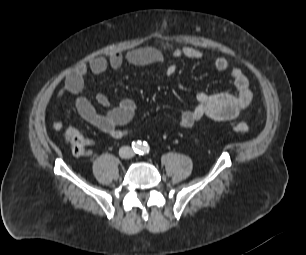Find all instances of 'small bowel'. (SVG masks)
<instances>
[{
    "mask_svg": "<svg viewBox=\"0 0 306 255\" xmlns=\"http://www.w3.org/2000/svg\"><path fill=\"white\" fill-rule=\"evenodd\" d=\"M203 57L204 53L193 47L176 49L169 60L160 49L155 47H141L125 53L114 51L108 57L97 56L88 63L77 65L67 75L58 95L60 100H65L69 96H76L75 107L86 122L110 137L120 139L128 133L123 127L134 118L136 104L132 99L124 98L106 112H98L87 98L80 95L84 88V78L89 72L99 75L109 68L119 70L127 63L134 66H165L166 76L171 77L177 70L179 60H197ZM213 65L219 72H228L234 84L235 92L197 93L195 105L179 114L178 123L180 127L190 128L204 117H209L216 121H230L237 118L241 110L250 104L252 91L249 80L242 70L238 67L230 66L228 60L224 57L215 58ZM96 101L102 107H109V99L104 94H98ZM62 127V122H53L55 130L59 131Z\"/></svg>",
    "mask_w": 306,
    "mask_h": 255,
    "instance_id": "small-bowel-1",
    "label": "small bowel"
}]
</instances>
